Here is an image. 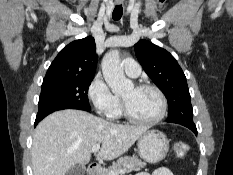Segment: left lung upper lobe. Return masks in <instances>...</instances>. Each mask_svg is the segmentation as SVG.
<instances>
[{"instance_id": "5c2ea615", "label": "left lung upper lobe", "mask_w": 233, "mask_h": 175, "mask_svg": "<svg viewBox=\"0 0 233 175\" xmlns=\"http://www.w3.org/2000/svg\"><path fill=\"white\" fill-rule=\"evenodd\" d=\"M134 49L147 75L167 97V122L194 123L186 77L176 59L165 49L146 40H140Z\"/></svg>"}]
</instances>
